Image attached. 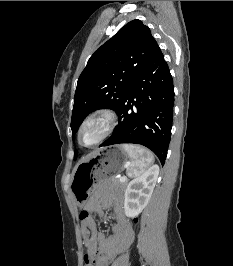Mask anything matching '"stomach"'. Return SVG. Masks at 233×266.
<instances>
[{"label":"stomach","mask_w":233,"mask_h":266,"mask_svg":"<svg viewBox=\"0 0 233 266\" xmlns=\"http://www.w3.org/2000/svg\"><path fill=\"white\" fill-rule=\"evenodd\" d=\"M128 163L129 155L122 146L97 147V152L74 170L70 190L77 204L84 206L94 185H100V180H112V176L124 172Z\"/></svg>","instance_id":"1"}]
</instances>
